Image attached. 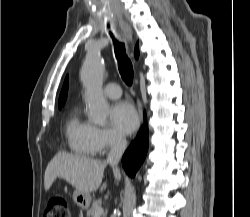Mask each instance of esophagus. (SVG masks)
I'll return each mask as SVG.
<instances>
[{"instance_id":"34e87169","label":"esophagus","mask_w":250,"mask_h":217,"mask_svg":"<svg viewBox=\"0 0 250 217\" xmlns=\"http://www.w3.org/2000/svg\"><path fill=\"white\" fill-rule=\"evenodd\" d=\"M120 26H121V29H122L126 39L128 41H131L132 40V30H131L130 26L124 21L120 22ZM137 106H138L139 116H140V119L142 122L143 121V113H142V106H141V103L139 100H137Z\"/></svg>"}]
</instances>
